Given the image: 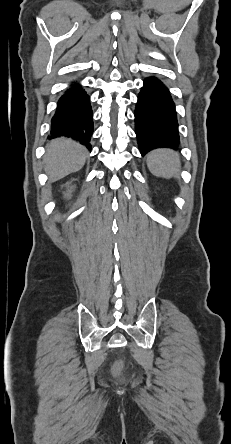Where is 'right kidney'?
I'll use <instances>...</instances> for the list:
<instances>
[{
    "instance_id": "obj_1",
    "label": "right kidney",
    "mask_w": 231,
    "mask_h": 444,
    "mask_svg": "<svg viewBox=\"0 0 231 444\" xmlns=\"http://www.w3.org/2000/svg\"><path fill=\"white\" fill-rule=\"evenodd\" d=\"M70 185V183H67L65 186L67 187V191H66V193H65V196L66 197H70L71 196V194H72V192H73V190H74V187L73 186H69Z\"/></svg>"
}]
</instances>
